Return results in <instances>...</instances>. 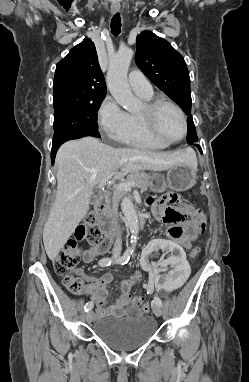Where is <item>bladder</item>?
<instances>
[{
    "instance_id": "obj_1",
    "label": "bladder",
    "mask_w": 249,
    "mask_h": 382,
    "mask_svg": "<svg viewBox=\"0 0 249 382\" xmlns=\"http://www.w3.org/2000/svg\"><path fill=\"white\" fill-rule=\"evenodd\" d=\"M157 329L156 321L148 315L136 318L105 317L94 324L95 335L116 350H133L148 342Z\"/></svg>"
}]
</instances>
